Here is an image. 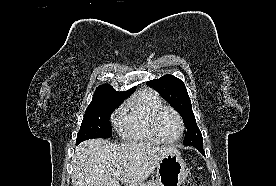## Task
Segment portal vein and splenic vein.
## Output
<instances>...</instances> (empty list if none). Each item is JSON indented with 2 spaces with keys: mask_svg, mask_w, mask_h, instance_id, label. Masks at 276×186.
Returning <instances> with one entry per match:
<instances>
[{
  "mask_svg": "<svg viewBox=\"0 0 276 186\" xmlns=\"http://www.w3.org/2000/svg\"><path fill=\"white\" fill-rule=\"evenodd\" d=\"M121 176H122V172H121V171L114 173V177H115L116 179H118V178L121 177Z\"/></svg>",
  "mask_w": 276,
  "mask_h": 186,
  "instance_id": "obj_1",
  "label": "portal vein and splenic vein"
}]
</instances>
